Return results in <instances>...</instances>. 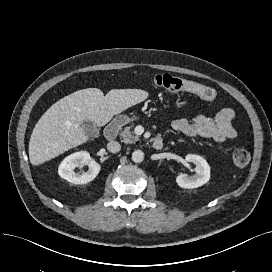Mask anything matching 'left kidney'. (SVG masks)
Here are the masks:
<instances>
[{
  "label": "left kidney",
  "mask_w": 272,
  "mask_h": 272,
  "mask_svg": "<svg viewBox=\"0 0 272 272\" xmlns=\"http://www.w3.org/2000/svg\"><path fill=\"white\" fill-rule=\"evenodd\" d=\"M185 160L195 164L196 174L191 177L187 174L178 175L176 177V182L181 188H198L210 180V166L203 157L196 154H188L186 155Z\"/></svg>",
  "instance_id": "left-kidney-1"
}]
</instances>
